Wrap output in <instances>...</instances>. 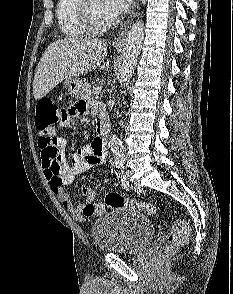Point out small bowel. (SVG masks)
Masks as SVG:
<instances>
[{
  "label": "small bowel",
  "instance_id": "obj_1",
  "mask_svg": "<svg viewBox=\"0 0 233 294\" xmlns=\"http://www.w3.org/2000/svg\"><path fill=\"white\" fill-rule=\"evenodd\" d=\"M97 105L93 101H79L76 104H71V108H60L59 112L61 114H58V119L62 120H55L53 123V128L57 132L41 133L42 137L59 138H55L53 144L50 145H42L39 142L45 177L63 207L77 221H84L86 218L96 215L85 212L88 205L95 204L96 191L94 187H83L81 191L85 197V202L77 206L70 198L69 189L77 175L94 166L103 164L107 153L105 145L100 143L97 138L74 154L66 152L67 139L61 136L62 134H68V129L62 128L71 126L72 122H77L80 116L95 114Z\"/></svg>",
  "mask_w": 233,
  "mask_h": 294
}]
</instances>
